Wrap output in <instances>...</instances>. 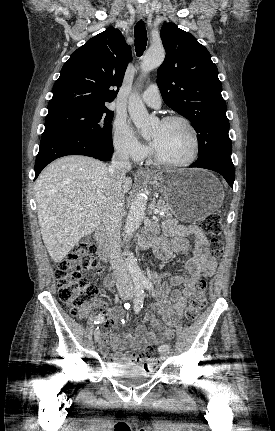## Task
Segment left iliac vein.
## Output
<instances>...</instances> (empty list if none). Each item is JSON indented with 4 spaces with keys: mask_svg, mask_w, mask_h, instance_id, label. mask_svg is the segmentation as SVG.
I'll return each mask as SVG.
<instances>
[{
    "mask_svg": "<svg viewBox=\"0 0 275 431\" xmlns=\"http://www.w3.org/2000/svg\"><path fill=\"white\" fill-rule=\"evenodd\" d=\"M171 353H172L171 350L167 349V350H165V351H163L161 353L160 357H161L162 360H166V359L169 358V356L171 355Z\"/></svg>",
    "mask_w": 275,
    "mask_h": 431,
    "instance_id": "1",
    "label": "left iliac vein"
}]
</instances>
